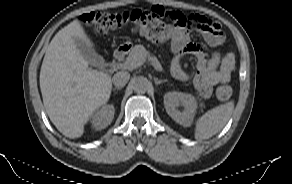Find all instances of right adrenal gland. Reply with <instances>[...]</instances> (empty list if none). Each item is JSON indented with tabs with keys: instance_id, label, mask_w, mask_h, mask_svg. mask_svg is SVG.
<instances>
[{
	"instance_id": "2a0ac1e0",
	"label": "right adrenal gland",
	"mask_w": 292,
	"mask_h": 184,
	"mask_svg": "<svg viewBox=\"0 0 292 184\" xmlns=\"http://www.w3.org/2000/svg\"><path fill=\"white\" fill-rule=\"evenodd\" d=\"M114 90H121V87H115V88H113V91Z\"/></svg>"
}]
</instances>
